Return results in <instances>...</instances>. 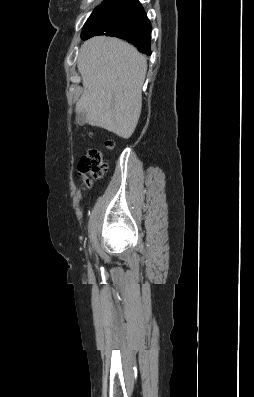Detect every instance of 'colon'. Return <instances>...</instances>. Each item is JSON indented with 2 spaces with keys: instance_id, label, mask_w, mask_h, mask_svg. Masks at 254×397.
Returning a JSON list of instances; mask_svg holds the SVG:
<instances>
[{
  "instance_id": "1",
  "label": "colon",
  "mask_w": 254,
  "mask_h": 397,
  "mask_svg": "<svg viewBox=\"0 0 254 397\" xmlns=\"http://www.w3.org/2000/svg\"><path fill=\"white\" fill-rule=\"evenodd\" d=\"M105 145L108 149H112L114 142L108 139ZM78 168L80 174L83 176L84 183L90 185L94 180L104 175L107 165L101 151L91 149L81 158Z\"/></svg>"
}]
</instances>
